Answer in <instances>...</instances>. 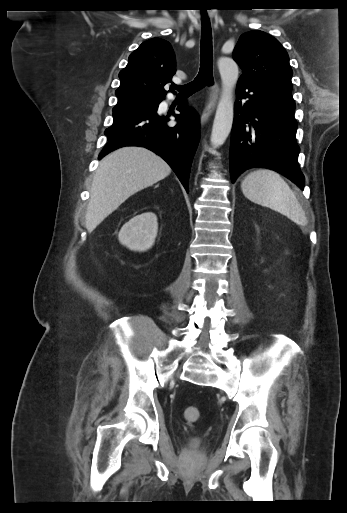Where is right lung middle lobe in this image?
I'll use <instances>...</instances> for the list:
<instances>
[{
	"label": "right lung middle lobe",
	"instance_id": "1",
	"mask_svg": "<svg viewBox=\"0 0 347 513\" xmlns=\"http://www.w3.org/2000/svg\"><path fill=\"white\" fill-rule=\"evenodd\" d=\"M158 103L159 102L156 100H149V101L140 102V103H137L134 105L115 106L113 108V116L119 115V114H124V113L153 109L158 105Z\"/></svg>",
	"mask_w": 347,
	"mask_h": 513
}]
</instances>
